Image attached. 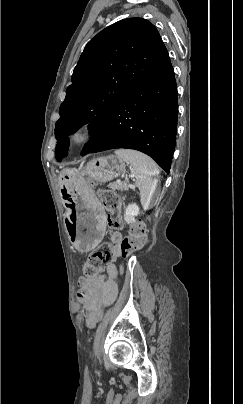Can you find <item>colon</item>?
I'll list each match as a JSON object with an SVG mask.
<instances>
[{
    "mask_svg": "<svg viewBox=\"0 0 243 404\" xmlns=\"http://www.w3.org/2000/svg\"><path fill=\"white\" fill-rule=\"evenodd\" d=\"M99 199L107 211V223L113 230H119L122 227L120 215V202L115 192L109 189H101L98 192ZM146 242V229L142 222H137L120 243V254L128 257L134 252L140 250ZM115 259V247L112 243L105 242L92 251L83 268V275L86 278L95 277L101 269L113 262ZM102 314L97 317L99 320Z\"/></svg>",
    "mask_w": 243,
    "mask_h": 404,
    "instance_id": "obj_1",
    "label": "colon"
}]
</instances>
